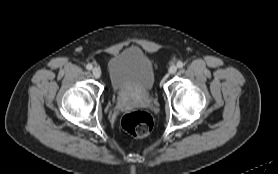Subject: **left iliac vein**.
I'll use <instances>...</instances> for the list:
<instances>
[{"label":"left iliac vein","instance_id":"4c4485c4","mask_svg":"<svg viewBox=\"0 0 278 174\" xmlns=\"http://www.w3.org/2000/svg\"><path fill=\"white\" fill-rule=\"evenodd\" d=\"M168 72L171 75L175 74L177 72V66L175 65L170 66Z\"/></svg>","mask_w":278,"mask_h":174}]
</instances>
